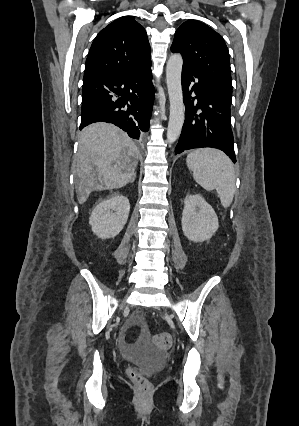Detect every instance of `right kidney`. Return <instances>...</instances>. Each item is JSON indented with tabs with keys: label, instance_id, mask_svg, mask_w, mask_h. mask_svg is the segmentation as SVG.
Instances as JSON below:
<instances>
[{
	"label": "right kidney",
	"instance_id": "ca27d5eb",
	"mask_svg": "<svg viewBox=\"0 0 299 426\" xmlns=\"http://www.w3.org/2000/svg\"><path fill=\"white\" fill-rule=\"evenodd\" d=\"M129 211L128 198L120 194L99 202L89 218L93 233L101 239L114 238L125 226Z\"/></svg>",
	"mask_w": 299,
	"mask_h": 426
}]
</instances>
